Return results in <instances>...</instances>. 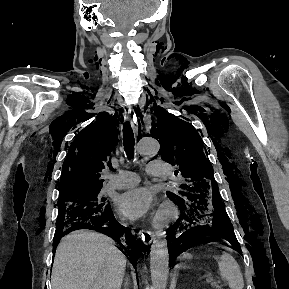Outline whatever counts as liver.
<instances>
[{"label": "liver", "mask_w": 289, "mask_h": 289, "mask_svg": "<svg viewBox=\"0 0 289 289\" xmlns=\"http://www.w3.org/2000/svg\"><path fill=\"white\" fill-rule=\"evenodd\" d=\"M125 268L126 257L110 238L78 230L56 249L52 289H120Z\"/></svg>", "instance_id": "6515ba94"}]
</instances>
